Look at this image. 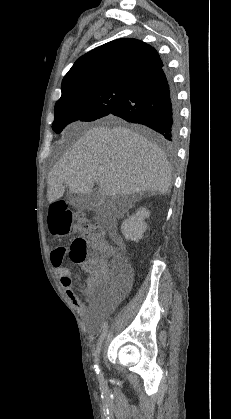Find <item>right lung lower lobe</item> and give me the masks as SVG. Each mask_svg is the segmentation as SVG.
<instances>
[{"label": "right lung lower lobe", "mask_w": 231, "mask_h": 419, "mask_svg": "<svg viewBox=\"0 0 231 419\" xmlns=\"http://www.w3.org/2000/svg\"><path fill=\"white\" fill-rule=\"evenodd\" d=\"M110 115L147 125L167 142L174 143L178 135L179 107L173 82L163 65L139 79Z\"/></svg>", "instance_id": "1"}]
</instances>
